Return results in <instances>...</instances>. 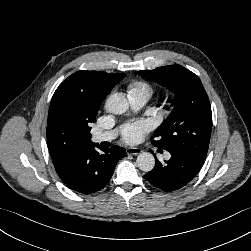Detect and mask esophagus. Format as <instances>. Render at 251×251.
Masks as SVG:
<instances>
[{"label": "esophagus", "mask_w": 251, "mask_h": 251, "mask_svg": "<svg viewBox=\"0 0 251 251\" xmlns=\"http://www.w3.org/2000/svg\"><path fill=\"white\" fill-rule=\"evenodd\" d=\"M126 153L128 155H137V154L142 153V149L137 148V147H129L126 149Z\"/></svg>", "instance_id": "obj_1"}]
</instances>
